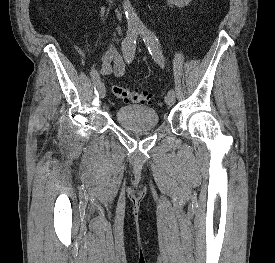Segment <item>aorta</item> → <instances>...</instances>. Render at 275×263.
Wrapping results in <instances>:
<instances>
[{"mask_svg":"<svg viewBox=\"0 0 275 263\" xmlns=\"http://www.w3.org/2000/svg\"><path fill=\"white\" fill-rule=\"evenodd\" d=\"M123 9L126 15V19L129 26L144 29V25L135 12L131 2L129 0L123 1ZM148 37H152L151 33L147 32Z\"/></svg>","mask_w":275,"mask_h":263,"instance_id":"1","label":"aorta"}]
</instances>
